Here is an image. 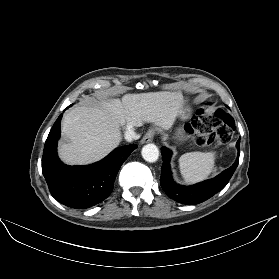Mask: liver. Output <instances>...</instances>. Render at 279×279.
<instances>
[{"label": "liver", "instance_id": "1", "mask_svg": "<svg viewBox=\"0 0 279 279\" xmlns=\"http://www.w3.org/2000/svg\"><path fill=\"white\" fill-rule=\"evenodd\" d=\"M181 91L125 94L78 106L63 117L61 129L69 142L58 147L60 159L69 165L96 162L121 141V126L144 122L169 130L183 109Z\"/></svg>", "mask_w": 279, "mask_h": 279}]
</instances>
